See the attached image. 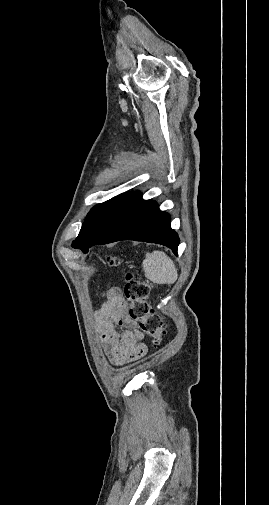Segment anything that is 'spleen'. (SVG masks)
Instances as JSON below:
<instances>
[{"label": "spleen", "instance_id": "spleen-1", "mask_svg": "<svg viewBox=\"0 0 269 505\" xmlns=\"http://www.w3.org/2000/svg\"><path fill=\"white\" fill-rule=\"evenodd\" d=\"M143 271L145 277L156 284H173L178 278L177 268L172 259L159 250L146 253Z\"/></svg>", "mask_w": 269, "mask_h": 505}]
</instances>
